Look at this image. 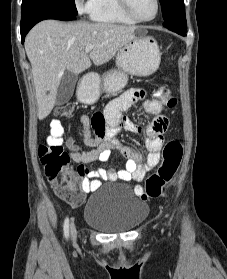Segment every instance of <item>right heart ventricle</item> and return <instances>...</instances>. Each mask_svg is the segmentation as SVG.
<instances>
[{"label":"right heart ventricle","instance_id":"right-heart-ventricle-1","mask_svg":"<svg viewBox=\"0 0 227 279\" xmlns=\"http://www.w3.org/2000/svg\"><path fill=\"white\" fill-rule=\"evenodd\" d=\"M92 20L114 24H135L136 21L129 17L121 8L118 0H96L90 12Z\"/></svg>","mask_w":227,"mask_h":279}]
</instances>
